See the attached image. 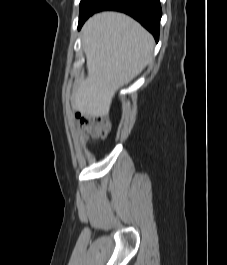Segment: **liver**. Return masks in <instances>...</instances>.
Segmentation results:
<instances>
[{"label":"liver","instance_id":"obj_1","mask_svg":"<svg viewBox=\"0 0 227 265\" xmlns=\"http://www.w3.org/2000/svg\"><path fill=\"white\" fill-rule=\"evenodd\" d=\"M82 46L88 76L77 81L72 107L82 114L106 116L115 93L152 60L154 39L131 17L103 12L84 24Z\"/></svg>","mask_w":227,"mask_h":265}]
</instances>
